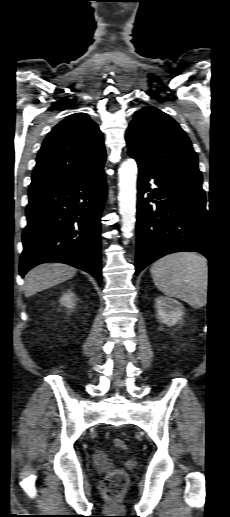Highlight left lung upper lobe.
Here are the masks:
<instances>
[{"label":"left lung upper lobe","mask_w":230,"mask_h":517,"mask_svg":"<svg viewBox=\"0 0 230 517\" xmlns=\"http://www.w3.org/2000/svg\"><path fill=\"white\" fill-rule=\"evenodd\" d=\"M126 143L138 165L181 180L202 182L198 157L188 136L161 110L152 106L140 109L130 122Z\"/></svg>","instance_id":"obj_1"}]
</instances>
